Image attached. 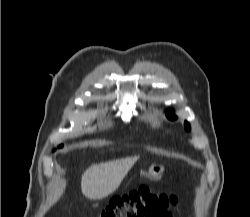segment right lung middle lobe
Returning a JSON list of instances; mask_svg holds the SVG:
<instances>
[{
  "label": "right lung middle lobe",
  "instance_id": "obj_1",
  "mask_svg": "<svg viewBox=\"0 0 250 217\" xmlns=\"http://www.w3.org/2000/svg\"><path fill=\"white\" fill-rule=\"evenodd\" d=\"M63 147V145H60L59 148Z\"/></svg>",
  "mask_w": 250,
  "mask_h": 217
}]
</instances>
